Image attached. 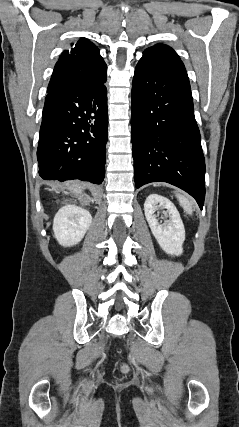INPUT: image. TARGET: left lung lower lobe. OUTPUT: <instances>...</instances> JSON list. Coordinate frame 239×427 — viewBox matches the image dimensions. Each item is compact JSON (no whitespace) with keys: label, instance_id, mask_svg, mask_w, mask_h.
<instances>
[{"label":"left lung lower lobe","instance_id":"left-lung-lower-lobe-1","mask_svg":"<svg viewBox=\"0 0 239 427\" xmlns=\"http://www.w3.org/2000/svg\"><path fill=\"white\" fill-rule=\"evenodd\" d=\"M135 186L167 182L205 198V159L189 81L139 62L131 106Z\"/></svg>","mask_w":239,"mask_h":427}]
</instances>
